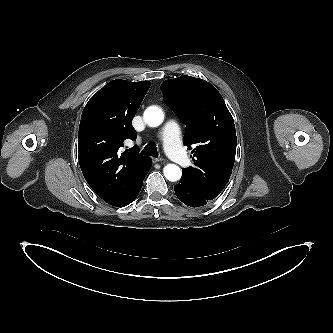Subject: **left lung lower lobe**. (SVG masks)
<instances>
[{
  "mask_svg": "<svg viewBox=\"0 0 333 333\" xmlns=\"http://www.w3.org/2000/svg\"><path fill=\"white\" fill-rule=\"evenodd\" d=\"M174 190L179 200L190 207L209 205L214 200L211 196L192 187L183 178L174 186Z\"/></svg>",
  "mask_w": 333,
  "mask_h": 333,
  "instance_id": "0a47b994",
  "label": "left lung lower lobe"
}]
</instances>
